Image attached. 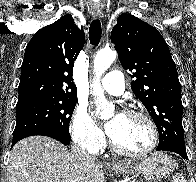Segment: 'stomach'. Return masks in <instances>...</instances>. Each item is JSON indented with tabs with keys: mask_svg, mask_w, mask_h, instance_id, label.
Returning <instances> with one entry per match:
<instances>
[{
	"mask_svg": "<svg viewBox=\"0 0 196 182\" xmlns=\"http://www.w3.org/2000/svg\"><path fill=\"white\" fill-rule=\"evenodd\" d=\"M174 169V161L164 153H153L132 165L115 166L112 172L118 175L143 174L149 179L161 180L167 178Z\"/></svg>",
	"mask_w": 196,
	"mask_h": 182,
	"instance_id": "obj_1",
	"label": "stomach"
}]
</instances>
